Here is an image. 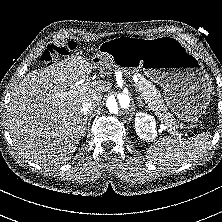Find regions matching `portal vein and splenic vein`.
Instances as JSON below:
<instances>
[{
    "label": "portal vein and splenic vein",
    "instance_id": "18ae733b",
    "mask_svg": "<svg viewBox=\"0 0 222 222\" xmlns=\"http://www.w3.org/2000/svg\"><path fill=\"white\" fill-rule=\"evenodd\" d=\"M83 83V81H78V82H76V85H80V84H82ZM66 94H70V92H66ZM171 131V130H170ZM177 136H179V137H181V134H179V133H177L176 134Z\"/></svg>",
    "mask_w": 222,
    "mask_h": 222
}]
</instances>
